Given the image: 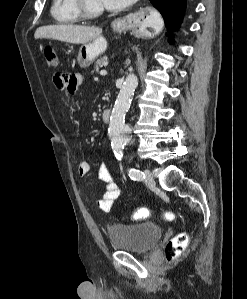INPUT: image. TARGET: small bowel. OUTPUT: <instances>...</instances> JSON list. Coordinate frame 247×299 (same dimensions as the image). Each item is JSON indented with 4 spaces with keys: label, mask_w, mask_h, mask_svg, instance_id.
Instances as JSON below:
<instances>
[{
    "label": "small bowel",
    "mask_w": 247,
    "mask_h": 299,
    "mask_svg": "<svg viewBox=\"0 0 247 299\" xmlns=\"http://www.w3.org/2000/svg\"><path fill=\"white\" fill-rule=\"evenodd\" d=\"M82 81L80 75L74 74H55V86L65 91L68 98H74L77 95L79 85ZM90 172V165L85 160H80L77 164V173L80 176H86ZM99 180L105 185V191L97 205L103 212H110L115 201L120 195V189L112 175L104 164H101L97 170Z\"/></svg>",
    "instance_id": "obj_1"
}]
</instances>
